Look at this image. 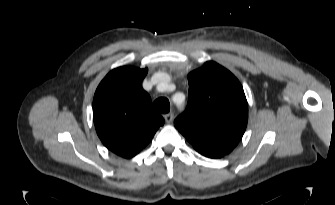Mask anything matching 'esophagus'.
<instances>
[{"mask_svg":"<svg viewBox=\"0 0 335 205\" xmlns=\"http://www.w3.org/2000/svg\"><path fill=\"white\" fill-rule=\"evenodd\" d=\"M173 118H174V114L172 112L170 113H167L164 115V119L166 121V123H171L173 121Z\"/></svg>","mask_w":335,"mask_h":205,"instance_id":"esophagus-1","label":"esophagus"}]
</instances>
